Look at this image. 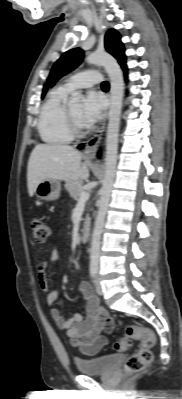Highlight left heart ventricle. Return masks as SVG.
<instances>
[{
  "label": "left heart ventricle",
  "mask_w": 182,
  "mask_h": 399,
  "mask_svg": "<svg viewBox=\"0 0 182 399\" xmlns=\"http://www.w3.org/2000/svg\"><path fill=\"white\" fill-rule=\"evenodd\" d=\"M82 108L81 106H77V107H72L70 108V112L73 115V117L75 118V120L77 121V123L84 127L83 124L80 121V114H81Z\"/></svg>",
  "instance_id": "1"
}]
</instances>
